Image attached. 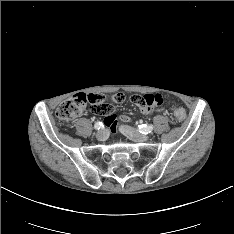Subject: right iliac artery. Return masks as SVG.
<instances>
[{
    "label": "right iliac artery",
    "mask_w": 234,
    "mask_h": 234,
    "mask_svg": "<svg viewBox=\"0 0 234 234\" xmlns=\"http://www.w3.org/2000/svg\"><path fill=\"white\" fill-rule=\"evenodd\" d=\"M102 127H103L102 122H96L95 125H94V128H95L96 130L101 129Z\"/></svg>",
    "instance_id": "82829eb1"
}]
</instances>
